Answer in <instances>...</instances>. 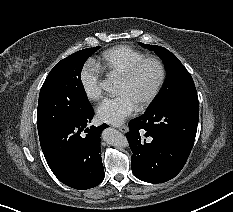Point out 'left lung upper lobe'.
<instances>
[{
	"mask_svg": "<svg viewBox=\"0 0 233 212\" xmlns=\"http://www.w3.org/2000/svg\"><path fill=\"white\" fill-rule=\"evenodd\" d=\"M139 44L154 51L163 60L167 70L166 81L151 106L172 100L198 101L196 88L190 73L174 54L164 47Z\"/></svg>",
	"mask_w": 233,
	"mask_h": 212,
	"instance_id": "left-lung-upper-lobe-1",
	"label": "left lung upper lobe"
}]
</instances>
